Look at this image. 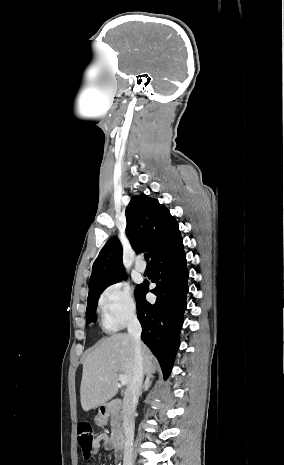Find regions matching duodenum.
I'll use <instances>...</instances> for the list:
<instances>
[{"label": "duodenum", "mask_w": 284, "mask_h": 465, "mask_svg": "<svg viewBox=\"0 0 284 465\" xmlns=\"http://www.w3.org/2000/svg\"><path fill=\"white\" fill-rule=\"evenodd\" d=\"M121 401L116 400L112 401L111 403L104 405L100 408L99 413H98V420L100 424H103L105 422V419L110 415V412L118 408L121 405ZM112 446L118 450H121L124 445H125V434L123 430L117 429L113 432L112 437Z\"/></svg>", "instance_id": "410a0bca"}]
</instances>
